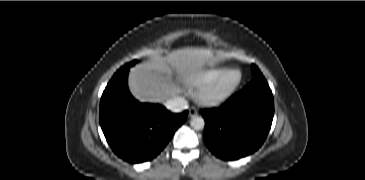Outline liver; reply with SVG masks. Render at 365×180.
I'll return each mask as SVG.
<instances>
[{
    "mask_svg": "<svg viewBox=\"0 0 365 180\" xmlns=\"http://www.w3.org/2000/svg\"><path fill=\"white\" fill-rule=\"evenodd\" d=\"M215 62L211 49H177L133 67L129 74V89L141 102L163 103L182 93L181 84H190L207 65Z\"/></svg>",
    "mask_w": 365,
    "mask_h": 180,
    "instance_id": "6515ba94",
    "label": "liver"
}]
</instances>
